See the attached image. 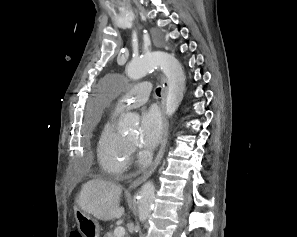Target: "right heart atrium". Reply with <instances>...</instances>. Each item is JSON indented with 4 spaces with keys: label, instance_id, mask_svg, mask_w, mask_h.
<instances>
[{
    "label": "right heart atrium",
    "instance_id": "d8ad5b80",
    "mask_svg": "<svg viewBox=\"0 0 297 237\" xmlns=\"http://www.w3.org/2000/svg\"><path fill=\"white\" fill-rule=\"evenodd\" d=\"M131 149H132V153H134V152H135V149H134V148H132V147H131Z\"/></svg>",
    "mask_w": 297,
    "mask_h": 237
}]
</instances>
